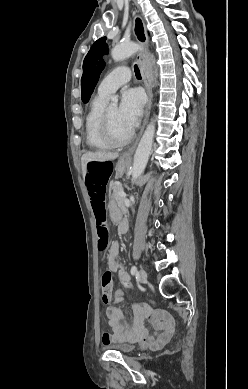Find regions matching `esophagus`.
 I'll list each match as a JSON object with an SVG mask.
<instances>
[{"label": "esophagus", "instance_id": "esophagus-1", "mask_svg": "<svg viewBox=\"0 0 248 389\" xmlns=\"http://www.w3.org/2000/svg\"><path fill=\"white\" fill-rule=\"evenodd\" d=\"M133 31H134V35H135L138 43L142 47H144V46L147 47L148 46V36H147V32H146V28H145L143 19L139 15L135 16V18H134ZM137 59L141 65V67L146 71V75L144 77V83H145V87H146L147 94H148V102H147V106H146L145 119H144L143 126H142L141 133H140V134H142V132L147 124L150 109H151V104H152V80H153V77H152L149 63H148V60H147L145 54L143 52H140L137 55ZM138 141H139V138L135 141V143L126 152L123 153V155L120 157L121 160L129 161L131 159V157L135 151V148L138 144Z\"/></svg>", "mask_w": 248, "mask_h": 389}]
</instances>
